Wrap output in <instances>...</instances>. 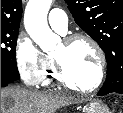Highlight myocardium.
Returning a JSON list of instances; mask_svg holds the SVG:
<instances>
[{
	"label": "myocardium",
	"instance_id": "1",
	"mask_svg": "<svg viewBox=\"0 0 123 113\" xmlns=\"http://www.w3.org/2000/svg\"><path fill=\"white\" fill-rule=\"evenodd\" d=\"M77 41L88 42L96 52L97 59H98V73H97L95 80L88 86H80V85L72 82L68 78L60 60L58 58H56L55 56H53L52 61H53V65H54L55 76H56L58 82H60L64 86H67L73 90H76L81 93L92 92V91L96 90L101 85V83L103 82V80L105 78V73H106L105 52L95 38H93L89 34H85V33H75V34L69 35L63 40V44L65 46H70Z\"/></svg>",
	"mask_w": 123,
	"mask_h": 113
}]
</instances>
